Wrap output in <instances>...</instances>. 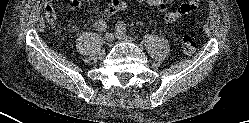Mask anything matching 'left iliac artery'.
Returning <instances> with one entry per match:
<instances>
[{"label":"left iliac artery","instance_id":"left-iliac-artery-1","mask_svg":"<svg viewBox=\"0 0 249 123\" xmlns=\"http://www.w3.org/2000/svg\"><path fill=\"white\" fill-rule=\"evenodd\" d=\"M116 29L118 31H121V32H127V26L124 22L122 21H119L117 24H116Z\"/></svg>","mask_w":249,"mask_h":123}]
</instances>
